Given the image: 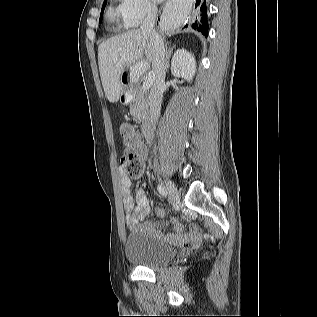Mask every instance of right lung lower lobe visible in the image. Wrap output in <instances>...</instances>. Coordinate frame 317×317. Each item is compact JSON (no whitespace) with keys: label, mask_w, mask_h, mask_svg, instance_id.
<instances>
[{"label":"right lung lower lobe","mask_w":317,"mask_h":317,"mask_svg":"<svg viewBox=\"0 0 317 317\" xmlns=\"http://www.w3.org/2000/svg\"><path fill=\"white\" fill-rule=\"evenodd\" d=\"M195 21L192 23V28L202 32L203 35H208V21H207V6L206 0H195ZM186 25L185 27H187Z\"/></svg>","instance_id":"1"}]
</instances>
